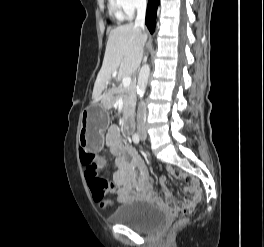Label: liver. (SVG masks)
<instances>
[{
	"instance_id": "obj_1",
	"label": "liver",
	"mask_w": 264,
	"mask_h": 247,
	"mask_svg": "<svg viewBox=\"0 0 264 247\" xmlns=\"http://www.w3.org/2000/svg\"><path fill=\"white\" fill-rule=\"evenodd\" d=\"M146 40V33L132 23L119 26L110 32L103 64L94 84L92 104L106 99V94L102 95V92L113 73H117L118 79H123L136 72L143 57Z\"/></svg>"
}]
</instances>
